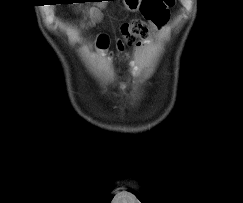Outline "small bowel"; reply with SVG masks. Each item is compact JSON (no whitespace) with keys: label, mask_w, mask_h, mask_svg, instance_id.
Returning <instances> with one entry per match:
<instances>
[{"label":"small bowel","mask_w":243,"mask_h":203,"mask_svg":"<svg viewBox=\"0 0 243 203\" xmlns=\"http://www.w3.org/2000/svg\"><path fill=\"white\" fill-rule=\"evenodd\" d=\"M149 45V41L148 40H143L141 43H139L138 45V50L139 53L143 52V50Z\"/></svg>","instance_id":"1"}]
</instances>
